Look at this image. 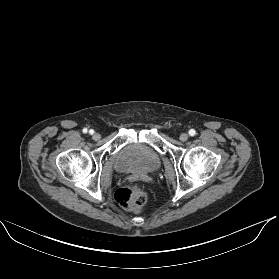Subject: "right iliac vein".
Listing matches in <instances>:
<instances>
[{"label":"right iliac vein","instance_id":"right-iliac-vein-1","mask_svg":"<svg viewBox=\"0 0 279 279\" xmlns=\"http://www.w3.org/2000/svg\"><path fill=\"white\" fill-rule=\"evenodd\" d=\"M92 137H93L94 140H99L100 139V134L99 133H94Z\"/></svg>","mask_w":279,"mask_h":279}]
</instances>
